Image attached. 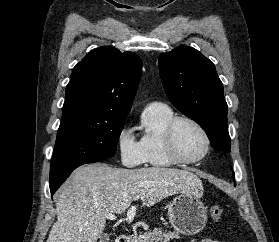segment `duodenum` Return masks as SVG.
Listing matches in <instances>:
<instances>
[{
    "instance_id": "obj_1",
    "label": "duodenum",
    "mask_w": 279,
    "mask_h": 242,
    "mask_svg": "<svg viewBox=\"0 0 279 242\" xmlns=\"http://www.w3.org/2000/svg\"><path fill=\"white\" fill-rule=\"evenodd\" d=\"M116 242H132V239L128 235L122 234L117 237Z\"/></svg>"
}]
</instances>
